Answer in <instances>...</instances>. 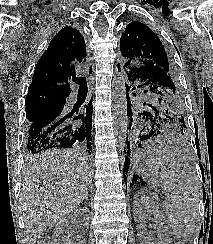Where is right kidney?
Returning a JSON list of instances; mask_svg holds the SVG:
<instances>
[{
	"label": "right kidney",
	"mask_w": 213,
	"mask_h": 244,
	"mask_svg": "<svg viewBox=\"0 0 213 244\" xmlns=\"http://www.w3.org/2000/svg\"><path fill=\"white\" fill-rule=\"evenodd\" d=\"M86 217H87L86 211L82 209L81 211L74 213L72 219L81 227H86L87 226Z\"/></svg>",
	"instance_id": "obj_1"
}]
</instances>
